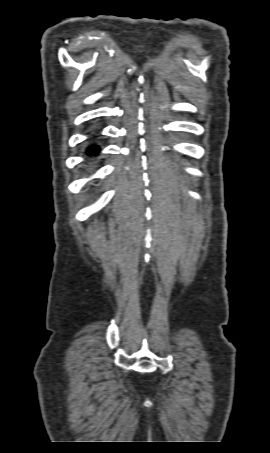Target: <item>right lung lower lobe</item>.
I'll return each instance as SVG.
<instances>
[{"label":"right lung lower lobe","mask_w":270,"mask_h":453,"mask_svg":"<svg viewBox=\"0 0 270 453\" xmlns=\"http://www.w3.org/2000/svg\"><path fill=\"white\" fill-rule=\"evenodd\" d=\"M95 137L90 138V140H94ZM99 146L97 144H91L88 148L86 153L88 155H97L99 153Z\"/></svg>","instance_id":"98d812e1"}]
</instances>
